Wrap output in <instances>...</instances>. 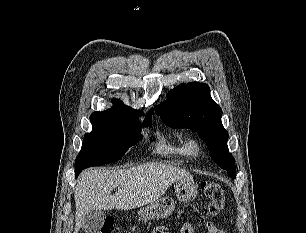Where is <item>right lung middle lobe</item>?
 <instances>
[{
    "label": "right lung middle lobe",
    "instance_id": "obj_1",
    "mask_svg": "<svg viewBox=\"0 0 306 233\" xmlns=\"http://www.w3.org/2000/svg\"><path fill=\"white\" fill-rule=\"evenodd\" d=\"M144 125L151 126V115ZM91 133L84 136L82 149L75 161V175L88 167L115 162L134 145L142 135L139 132L138 116L111 113H92Z\"/></svg>",
    "mask_w": 306,
    "mask_h": 233
}]
</instances>
